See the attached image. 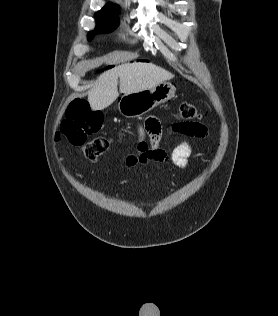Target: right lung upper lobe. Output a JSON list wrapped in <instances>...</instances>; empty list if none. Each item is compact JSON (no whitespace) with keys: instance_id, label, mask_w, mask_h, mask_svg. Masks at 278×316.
I'll list each match as a JSON object with an SVG mask.
<instances>
[{"instance_id":"1","label":"right lung upper lobe","mask_w":278,"mask_h":316,"mask_svg":"<svg viewBox=\"0 0 278 316\" xmlns=\"http://www.w3.org/2000/svg\"><path fill=\"white\" fill-rule=\"evenodd\" d=\"M117 8H118V6H116V5L107 4L105 7L102 8L101 11H112V12H116V11H118Z\"/></svg>"}]
</instances>
